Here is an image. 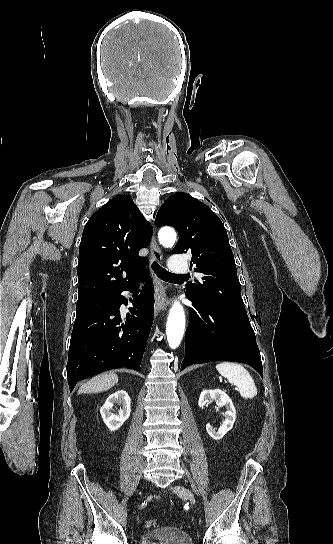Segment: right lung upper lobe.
<instances>
[{"label":"right lung upper lobe","mask_w":333,"mask_h":544,"mask_svg":"<svg viewBox=\"0 0 333 544\" xmlns=\"http://www.w3.org/2000/svg\"><path fill=\"white\" fill-rule=\"evenodd\" d=\"M153 228L130 196L116 195L86 223L79 248L78 301L115 295L141 276ZM126 274V277H124Z\"/></svg>","instance_id":"obj_1"}]
</instances>
